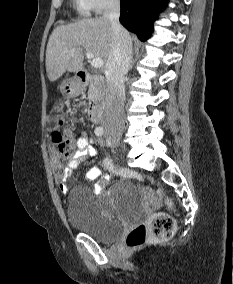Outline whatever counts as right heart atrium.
<instances>
[{"instance_id":"obj_1","label":"right heart atrium","mask_w":233,"mask_h":284,"mask_svg":"<svg viewBox=\"0 0 233 284\" xmlns=\"http://www.w3.org/2000/svg\"><path fill=\"white\" fill-rule=\"evenodd\" d=\"M89 10L100 13L118 4L119 0H85Z\"/></svg>"}]
</instances>
